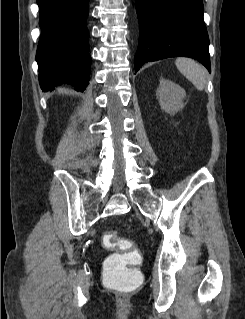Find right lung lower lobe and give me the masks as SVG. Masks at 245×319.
<instances>
[{
	"label": "right lung lower lobe",
	"instance_id": "right-lung-lower-lobe-1",
	"mask_svg": "<svg viewBox=\"0 0 245 319\" xmlns=\"http://www.w3.org/2000/svg\"><path fill=\"white\" fill-rule=\"evenodd\" d=\"M89 0H37L42 30L36 61L43 91L62 83L83 91L89 82L91 57L86 27Z\"/></svg>",
	"mask_w": 245,
	"mask_h": 319
}]
</instances>
